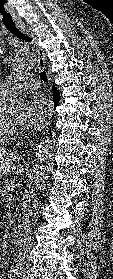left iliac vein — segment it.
<instances>
[{"label": "left iliac vein", "instance_id": "left-iliac-vein-1", "mask_svg": "<svg viewBox=\"0 0 113 279\" xmlns=\"http://www.w3.org/2000/svg\"><path fill=\"white\" fill-rule=\"evenodd\" d=\"M23 279H34V277L29 273L27 276H23Z\"/></svg>", "mask_w": 113, "mask_h": 279}]
</instances>
